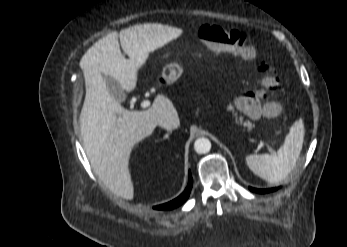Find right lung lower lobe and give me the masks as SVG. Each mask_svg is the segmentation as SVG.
Instances as JSON below:
<instances>
[{
	"instance_id": "98d812e1",
	"label": "right lung lower lobe",
	"mask_w": 347,
	"mask_h": 247,
	"mask_svg": "<svg viewBox=\"0 0 347 247\" xmlns=\"http://www.w3.org/2000/svg\"><path fill=\"white\" fill-rule=\"evenodd\" d=\"M191 188H192V176H191V173L189 171V183H188V186L185 189V191L176 199H174L168 203H165V204H162L159 206H155L154 209L168 210V209H173V208L178 207L179 205H181L183 202H185L187 200V198L189 197Z\"/></svg>"
}]
</instances>
